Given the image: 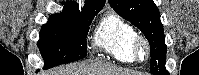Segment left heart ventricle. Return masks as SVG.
<instances>
[{
    "label": "left heart ventricle",
    "mask_w": 199,
    "mask_h": 75,
    "mask_svg": "<svg viewBox=\"0 0 199 75\" xmlns=\"http://www.w3.org/2000/svg\"><path fill=\"white\" fill-rule=\"evenodd\" d=\"M144 53H145V52H144V49L141 48L140 51H139L140 57H143V56H144Z\"/></svg>",
    "instance_id": "left-heart-ventricle-1"
}]
</instances>
